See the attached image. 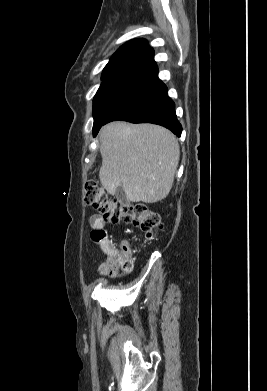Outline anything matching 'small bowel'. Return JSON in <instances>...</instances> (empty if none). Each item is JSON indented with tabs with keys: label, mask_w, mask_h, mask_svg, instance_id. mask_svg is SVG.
Masks as SVG:
<instances>
[{
	"label": "small bowel",
	"mask_w": 267,
	"mask_h": 391,
	"mask_svg": "<svg viewBox=\"0 0 267 391\" xmlns=\"http://www.w3.org/2000/svg\"><path fill=\"white\" fill-rule=\"evenodd\" d=\"M91 227L94 230H99L105 227V220L98 215H93L90 218ZM111 239L103 240L100 243V249L106 255V259L99 265V273L103 276L114 277L118 272V264L115 260V255L118 250L111 244Z\"/></svg>",
	"instance_id": "1"
}]
</instances>
